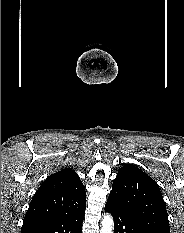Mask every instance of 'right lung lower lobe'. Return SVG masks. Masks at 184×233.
I'll return each instance as SVG.
<instances>
[{
    "mask_svg": "<svg viewBox=\"0 0 184 233\" xmlns=\"http://www.w3.org/2000/svg\"><path fill=\"white\" fill-rule=\"evenodd\" d=\"M84 220V214L77 217L55 221L36 227L23 233H82V223Z\"/></svg>",
    "mask_w": 184,
    "mask_h": 233,
    "instance_id": "right-lung-lower-lobe-1",
    "label": "right lung lower lobe"
}]
</instances>
